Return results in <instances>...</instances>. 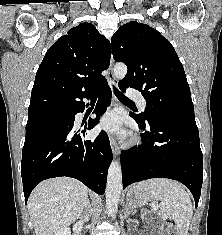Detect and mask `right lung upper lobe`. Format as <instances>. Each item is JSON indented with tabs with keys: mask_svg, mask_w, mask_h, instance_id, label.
I'll use <instances>...</instances> for the list:
<instances>
[{
	"mask_svg": "<svg viewBox=\"0 0 222 235\" xmlns=\"http://www.w3.org/2000/svg\"><path fill=\"white\" fill-rule=\"evenodd\" d=\"M111 45L91 23H81L46 52L36 73L28 121L49 118L64 101L88 93L105 80Z\"/></svg>",
	"mask_w": 222,
	"mask_h": 235,
	"instance_id": "1",
	"label": "right lung upper lobe"
}]
</instances>
